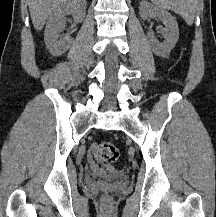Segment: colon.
I'll use <instances>...</instances> for the list:
<instances>
[{"instance_id":"colon-1","label":"colon","mask_w":216,"mask_h":217,"mask_svg":"<svg viewBox=\"0 0 216 217\" xmlns=\"http://www.w3.org/2000/svg\"><path fill=\"white\" fill-rule=\"evenodd\" d=\"M95 153L97 159L101 163L109 166L116 163L120 155L117 146L109 140H102L97 142ZM101 200L104 204H108L111 201V197L108 194H103Z\"/></svg>"}]
</instances>
